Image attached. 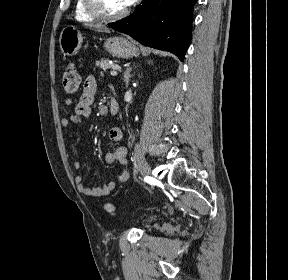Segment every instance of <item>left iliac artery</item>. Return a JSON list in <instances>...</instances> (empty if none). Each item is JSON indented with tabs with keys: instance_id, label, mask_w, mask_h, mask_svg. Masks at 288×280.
Returning <instances> with one entry per match:
<instances>
[{
	"instance_id": "1",
	"label": "left iliac artery",
	"mask_w": 288,
	"mask_h": 280,
	"mask_svg": "<svg viewBox=\"0 0 288 280\" xmlns=\"http://www.w3.org/2000/svg\"><path fill=\"white\" fill-rule=\"evenodd\" d=\"M137 178H138L137 183L139 184L140 187H143L144 186V180L142 178V175L138 174Z\"/></svg>"
}]
</instances>
